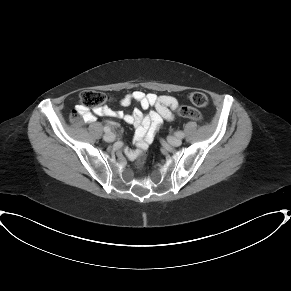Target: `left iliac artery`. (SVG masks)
<instances>
[{"instance_id":"obj_1","label":"left iliac artery","mask_w":291,"mask_h":291,"mask_svg":"<svg viewBox=\"0 0 291 291\" xmlns=\"http://www.w3.org/2000/svg\"><path fill=\"white\" fill-rule=\"evenodd\" d=\"M175 135L178 137V138H183L184 137V133L182 131H178L175 133Z\"/></svg>"}]
</instances>
